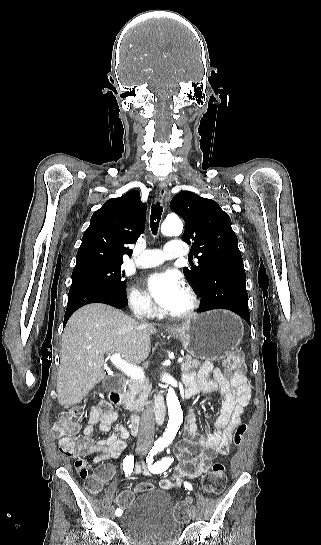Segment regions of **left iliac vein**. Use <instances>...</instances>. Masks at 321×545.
Masks as SVG:
<instances>
[{"instance_id": "left-iliac-vein-1", "label": "left iliac vein", "mask_w": 321, "mask_h": 545, "mask_svg": "<svg viewBox=\"0 0 321 545\" xmlns=\"http://www.w3.org/2000/svg\"><path fill=\"white\" fill-rule=\"evenodd\" d=\"M197 513H198V509L195 505H192L191 507V512H190V515H191V519L194 520L197 516Z\"/></svg>"}]
</instances>
